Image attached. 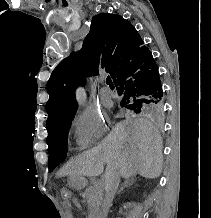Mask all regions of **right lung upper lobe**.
<instances>
[{
	"label": "right lung upper lobe",
	"instance_id": "1",
	"mask_svg": "<svg viewBox=\"0 0 211 218\" xmlns=\"http://www.w3.org/2000/svg\"><path fill=\"white\" fill-rule=\"evenodd\" d=\"M147 50L129 21L116 14L95 15L82 49L63 59L47 83L48 133L58 120L77 109L75 89L84 84L85 76L96 75L99 68H105L114 80Z\"/></svg>",
	"mask_w": 211,
	"mask_h": 218
}]
</instances>
